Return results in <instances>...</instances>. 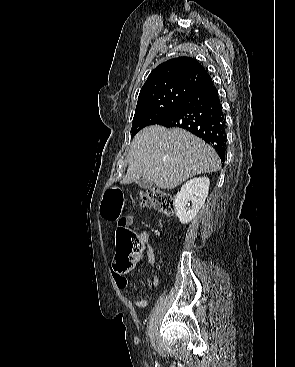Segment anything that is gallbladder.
<instances>
[{
  "label": "gallbladder",
  "mask_w": 295,
  "mask_h": 367,
  "mask_svg": "<svg viewBox=\"0 0 295 367\" xmlns=\"http://www.w3.org/2000/svg\"><path fill=\"white\" fill-rule=\"evenodd\" d=\"M136 184L143 188V189H150L153 186V182L145 179V178H140L136 181Z\"/></svg>",
  "instance_id": "obj_1"
}]
</instances>
